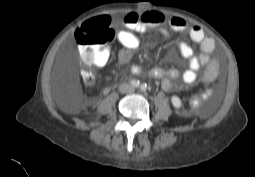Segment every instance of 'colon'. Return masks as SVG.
<instances>
[{
	"instance_id": "colon-1",
	"label": "colon",
	"mask_w": 255,
	"mask_h": 177,
	"mask_svg": "<svg viewBox=\"0 0 255 177\" xmlns=\"http://www.w3.org/2000/svg\"><path fill=\"white\" fill-rule=\"evenodd\" d=\"M113 38L114 33L109 27L108 19L103 17L85 22L81 26V31L76 32L75 39L81 53L82 65L85 68L82 73L85 82L92 83L94 80L92 70L97 67L96 52L108 47ZM210 73L211 70L208 69L206 77Z\"/></svg>"
}]
</instances>
